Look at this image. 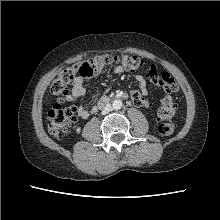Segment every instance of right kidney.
<instances>
[{"label": "right kidney", "instance_id": "obj_1", "mask_svg": "<svg viewBox=\"0 0 220 220\" xmlns=\"http://www.w3.org/2000/svg\"><path fill=\"white\" fill-rule=\"evenodd\" d=\"M80 131H81V128L78 127V128L76 129V133H80Z\"/></svg>", "mask_w": 220, "mask_h": 220}]
</instances>
